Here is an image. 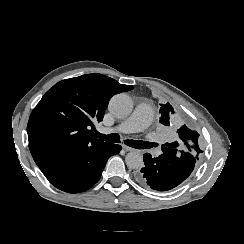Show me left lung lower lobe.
<instances>
[{"instance_id": "1", "label": "left lung lower lobe", "mask_w": 244, "mask_h": 244, "mask_svg": "<svg viewBox=\"0 0 244 244\" xmlns=\"http://www.w3.org/2000/svg\"><path fill=\"white\" fill-rule=\"evenodd\" d=\"M162 151L157 158L149 153L144 154L145 167L135 174L140 185L167 191L178 186L192 173L198 157L174 148L162 147Z\"/></svg>"}]
</instances>
